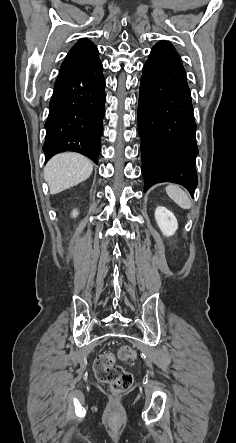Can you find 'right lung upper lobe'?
<instances>
[{"label":"right lung upper lobe","mask_w":236,"mask_h":443,"mask_svg":"<svg viewBox=\"0 0 236 443\" xmlns=\"http://www.w3.org/2000/svg\"><path fill=\"white\" fill-rule=\"evenodd\" d=\"M66 60H75L81 62H98L99 52L96 46L87 38L80 39L67 54Z\"/></svg>","instance_id":"cb5924a9"}]
</instances>
